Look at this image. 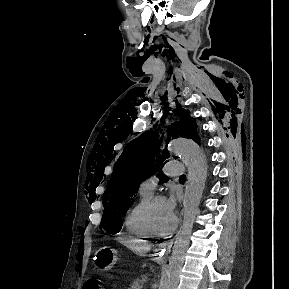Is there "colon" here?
<instances>
[{"instance_id": "5ec220e1", "label": "colon", "mask_w": 289, "mask_h": 289, "mask_svg": "<svg viewBox=\"0 0 289 289\" xmlns=\"http://www.w3.org/2000/svg\"><path fill=\"white\" fill-rule=\"evenodd\" d=\"M84 289H103L102 284L98 280H89Z\"/></svg>"}]
</instances>
